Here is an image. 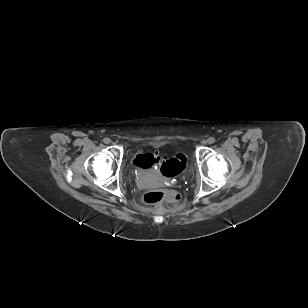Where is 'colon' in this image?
<instances>
[{
  "instance_id": "colon-1",
  "label": "colon",
  "mask_w": 308,
  "mask_h": 308,
  "mask_svg": "<svg viewBox=\"0 0 308 308\" xmlns=\"http://www.w3.org/2000/svg\"><path fill=\"white\" fill-rule=\"evenodd\" d=\"M136 164L142 168H151L160 164V173L164 176L171 177L177 174L185 165V157L181 154L175 159L165 160L160 163L159 157L153 154H144L137 156ZM179 193L168 190H152L144 195V202L147 204H158L164 200L177 203L180 200Z\"/></svg>"
}]
</instances>
